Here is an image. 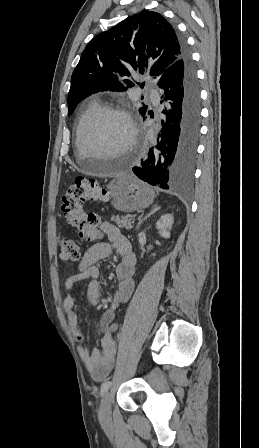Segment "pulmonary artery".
<instances>
[{
  "instance_id": "e3ab8cb5",
  "label": "pulmonary artery",
  "mask_w": 259,
  "mask_h": 448,
  "mask_svg": "<svg viewBox=\"0 0 259 448\" xmlns=\"http://www.w3.org/2000/svg\"><path fill=\"white\" fill-rule=\"evenodd\" d=\"M149 99L160 108V105H159L160 97H159V95L150 96Z\"/></svg>"
}]
</instances>
